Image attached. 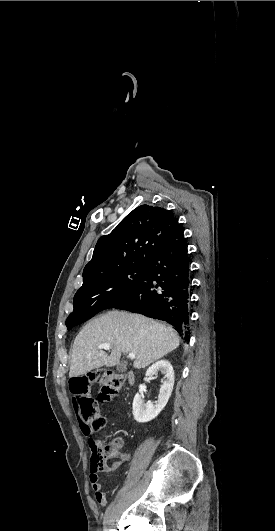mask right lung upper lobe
I'll return each mask as SVG.
<instances>
[{
    "mask_svg": "<svg viewBox=\"0 0 275 531\" xmlns=\"http://www.w3.org/2000/svg\"><path fill=\"white\" fill-rule=\"evenodd\" d=\"M178 221L168 210L142 205L102 236L83 270V284L114 270L147 266L173 234Z\"/></svg>",
    "mask_w": 275,
    "mask_h": 531,
    "instance_id": "obj_1",
    "label": "right lung upper lobe"
}]
</instances>
